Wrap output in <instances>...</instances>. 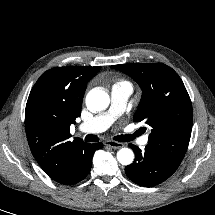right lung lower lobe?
Listing matches in <instances>:
<instances>
[{"label": "right lung lower lobe", "mask_w": 215, "mask_h": 215, "mask_svg": "<svg viewBox=\"0 0 215 215\" xmlns=\"http://www.w3.org/2000/svg\"><path fill=\"white\" fill-rule=\"evenodd\" d=\"M103 147L102 143L88 144L77 157V169L66 185H73L84 179L90 172L94 152Z\"/></svg>", "instance_id": "98d812e1"}]
</instances>
